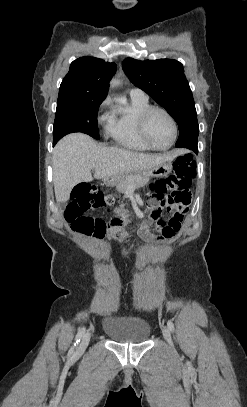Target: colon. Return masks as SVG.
<instances>
[{
    "label": "colon",
    "instance_id": "colon-1",
    "mask_svg": "<svg viewBox=\"0 0 247 407\" xmlns=\"http://www.w3.org/2000/svg\"><path fill=\"white\" fill-rule=\"evenodd\" d=\"M196 175V161L190 154L183 155L174 162L170 175L150 185L151 191L167 196L176 204H189L190 189ZM112 198L97 186L78 185L66 207L65 219L73 230L85 235L106 236L111 226L98 218L85 216V213L109 209Z\"/></svg>",
    "mask_w": 247,
    "mask_h": 407
}]
</instances>
